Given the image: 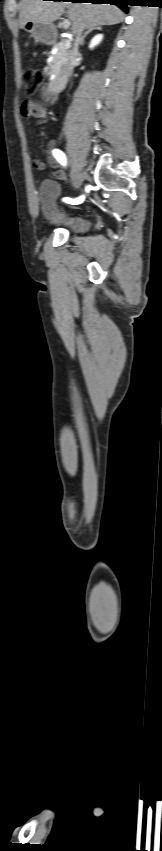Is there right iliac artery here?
I'll use <instances>...</instances> for the list:
<instances>
[{
  "instance_id": "82829eb1",
  "label": "right iliac artery",
  "mask_w": 162,
  "mask_h": 851,
  "mask_svg": "<svg viewBox=\"0 0 162 851\" xmlns=\"http://www.w3.org/2000/svg\"><path fill=\"white\" fill-rule=\"evenodd\" d=\"M52 153H53L54 157L57 159V161H58L61 165H63V166H65V165H66V156H65V154H64L61 150H59V149H54V150L52 151ZM63 200H64L65 202L69 203V204H80V203H82V202H83V200H84V196L78 197V198H76V199L64 198Z\"/></svg>"
}]
</instances>
